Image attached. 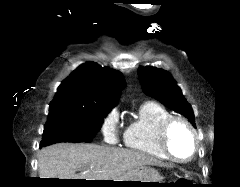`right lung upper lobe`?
<instances>
[{"mask_svg": "<svg viewBox=\"0 0 240 187\" xmlns=\"http://www.w3.org/2000/svg\"><path fill=\"white\" fill-rule=\"evenodd\" d=\"M124 87L123 75L113 69L87 62L67 77L57 89L50 108L72 106L111 110Z\"/></svg>", "mask_w": 240, "mask_h": 187, "instance_id": "right-lung-upper-lobe-1", "label": "right lung upper lobe"}]
</instances>
